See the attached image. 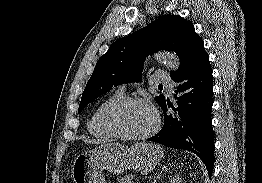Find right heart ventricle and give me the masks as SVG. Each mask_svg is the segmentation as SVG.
I'll use <instances>...</instances> for the list:
<instances>
[{
    "mask_svg": "<svg viewBox=\"0 0 262 183\" xmlns=\"http://www.w3.org/2000/svg\"><path fill=\"white\" fill-rule=\"evenodd\" d=\"M123 98L124 95L122 93L116 92L104 99L96 107L87 123V128L91 135L101 139L114 137V135L106 127L105 114L111 106H113L115 103L122 100Z\"/></svg>",
    "mask_w": 262,
    "mask_h": 183,
    "instance_id": "1",
    "label": "right heart ventricle"
}]
</instances>
